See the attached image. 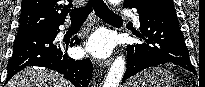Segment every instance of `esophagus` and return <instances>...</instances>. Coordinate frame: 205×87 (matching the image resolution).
<instances>
[{"mask_svg": "<svg viewBox=\"0 0 205 87\" xmlns=\"http://www.w3.org/2000/svg\"><path fill=\"white\" fill-rule=\"evenodd\" d=\"M111 60H112V57H111V58H108V59H105V60H101V61L99 62V66L102 67V68H105V67H107V66L110 65Z\"/></svg>", "mask_w": 205, "mask_h": 87, "instance_id": "34e87169", "label": "esophagus"}]
</instances>
